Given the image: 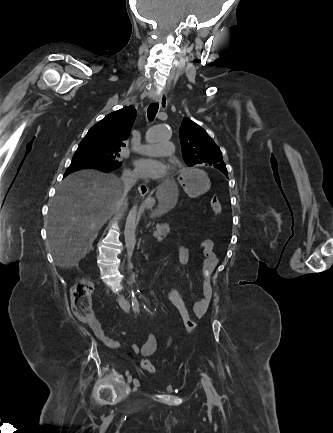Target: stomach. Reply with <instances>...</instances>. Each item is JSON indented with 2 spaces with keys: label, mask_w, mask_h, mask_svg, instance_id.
I'll use <instances>...</instances> for the list:
<instances>
[{
  "label": "stomach",
  "mask_w": 333,
  "mask_h": 433,
  "mask_svg": "<svg viewBox=\"0 0 333 433\" xmlns=\"http://www.w3.org/2000/svg\"><path fill=\"white\" fill-rule=\"evenodd\" d=\"M177 183L184 184V190L190 197H198L210 189V180L206 169H182L176 176ZM147 206H152L151 201H146Z\"/></svg>",
  "instance_id": "stomach-1"
}]
</instances>
